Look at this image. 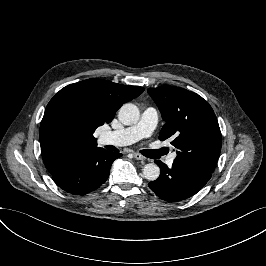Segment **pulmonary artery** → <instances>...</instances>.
Listing matches in <instances>:
<instances>
[{
  "label": "pulmonary artery",
  "instance_id": "pulmonary-artery-1",
  "mask_svg": "<svg viewBox=\"0 0 266 266\" xmlns=\"http://www.w3.org/2000/svg\"><path fill=\"white\" fill-rule=\"evenodd\" d=\"M158 123V114L154 108H147L143 111L140 120L127 128L109 131L101 136V142L105 145L126 146L136 141L149 137L155 130ZM176 157L173 152L166 159V164L171 166Z\"/></svg>",
  "mask_w": 266,
  "mask_h": 266
}]
</instances>
